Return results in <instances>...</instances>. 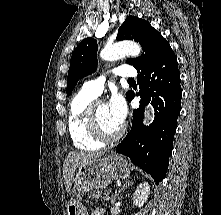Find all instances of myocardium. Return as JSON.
Returning a JSON list of instances; mask_svg holds the SVG:
<instances>
[{
	"label": "myocardium",
	"instance_id": "f54148a6",
	"mask_svg": "<svg viewBox=\"0 0 221 215\" xmlns=\"http://www.w3.org/2000/svg\"><path fill=\"white\" fill-rule=\"evenodd\" d=\"M102 104H106V102L103 99H94L87 107L86 109V123L88 130L90 134L98 141L102 143H111L119 140L124 132H125V127L121 126L120 129L113 133V134H108L106 133L98 120V114L97 110L98 107Z\"/></svg>",
	"mask_w": 221,
	"mask_h": 215
}]
</instances>
